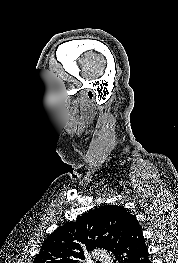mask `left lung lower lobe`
Masks as SVG:
<instances>
[{
    "label": "left lung lower lobe",
    "mask_w": 178,
    "mask_h": 263,
    "mask_svg": "<svg viewBox=\"0 0 178 263\" xmlns=\"http://www.w3.org/2000/svg\"><path fill=\"white\" fill-rule=\"evenodd\" d=\"M114 254L119 263H151L142 230L135 216L131 217Z\"/></svg>",
    "instance_id": "obj_1"
}]
</instances>
